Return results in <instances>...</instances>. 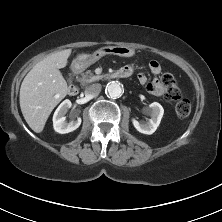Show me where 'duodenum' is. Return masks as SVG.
<instances>
[{
	"label": "duodenum",
	"mask_w": 222,
	"mask_h": 222,
	"mask_svg": "<svg viewBox=\"0 0 222 222\" xmlns=\"http://www.w3.org/2000/svg\"><path fill=\"white\" fill-rule=\"evenodd\" d=\"M80 70H81L80 67L78 65H76L72 68V73L74 75H76L80 72ZM130 75H131V71L129 69L121 68V69H118L115 72H113L111 74V77L115 78V79H119V78L128 77ZM68 92L71 96L77 95L79 92L78 86L75 84H71L68 88Z\"/></svg>",
	"instance_id": "410a0bca"
}]
</instances>
